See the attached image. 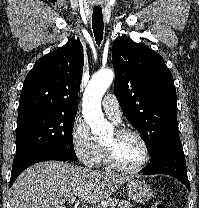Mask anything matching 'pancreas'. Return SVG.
Instances as JSON below:
<instances>
[{
  "mask_svg": "<svg viewBox=\"0 0 199 208\" xmlns=\"http://www.w3.org/2000/svg\"><path fill=\"white\" fill-rule=\"evenodd\" d=\"M130 208L128 201H119L118 199H107L103 203L98 204L95 208Z\"/></svg>",
  "mask_w": 199,
  "mask_h": 208,
  "instance_id": "obj_1",
  "label": "pancreas"
}]
</instances>
